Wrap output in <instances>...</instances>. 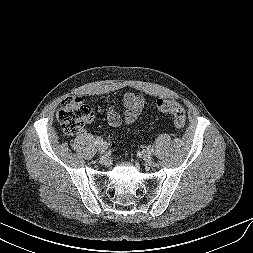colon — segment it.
I'll list each match as a JSON object with an SVG mask.
<instances>
[{"label": "colon", "instance_id": "obj_1", "mask_svg": "<svg viewBox=\"0 0 253 253\" xmlns=\"http://www.w3.org/2000/svg\"><path fill=\"white\" fill-rule=\"evenodd\" d=\"M157 108L161 113L171 114L174 124L183 127L186 122V111L183 105L172 99H159ZM93 112L80 97L65 98L57 112V119L63 126L65 133L69 135L77 134L81 131L85 123L93 120Z\"/></svg>", "mask_w": 253, "mask_h": 253}]
</instances>
